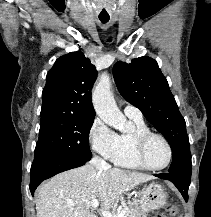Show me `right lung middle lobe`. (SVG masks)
<instances>
[{"mask_svg":"<svg viewBox=\"0 0 211 217\" xmlns=\"http://www.w3.org/2000/svg\"><path fill=\"white\" fill-rule=\"evenodd\" d=\"M94 118L72 115L50 116L41 119L35 158L62 157L89 161V132Z\"/></svg>","mask_w":211,"mask_h":217,"instance_id":"obj_1","label":"right lung middle lobe"}]
</instances>
